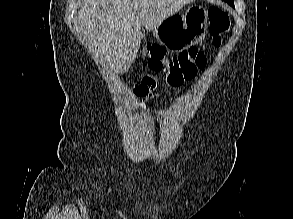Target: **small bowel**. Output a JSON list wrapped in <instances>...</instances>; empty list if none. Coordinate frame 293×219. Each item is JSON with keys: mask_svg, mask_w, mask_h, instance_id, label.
Here are the masks:
<instances>
[{"mask_svg": "<svg viewBox=\"0 0 293 219\" xmlns=\"http://www.w3.org/2000/svg\"><path fill=\"white\" fill-rule=\"evenodd\" d=\"M157 84L152 78H144L141 83L137 86L135 93L137 96L143 98L142 107L145 106L147 100L152 99L155 94Z\"/></svg>", "mask_w": 293, "mask_h": 219, "instance_id": "small-bowel-1", "label": "small bowel"}]
</instances>
